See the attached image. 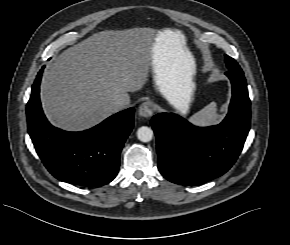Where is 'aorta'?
I'll return each instance as SVG.
<instances>
[{"label":"aorta","instance_id":"1","mask_svg":"<svg viewBox=\"0 0 290 245\" xmlns=\"http://www.w3.org/2000/svg\"><path fill=\"white\" fill-rule=\"evenodd\" d=\"M137 137L141 142H150L153 138V130L147 126H142L137 130Z\"/></svg>","mask_w":290,"mask_h":245}]
</instances>
